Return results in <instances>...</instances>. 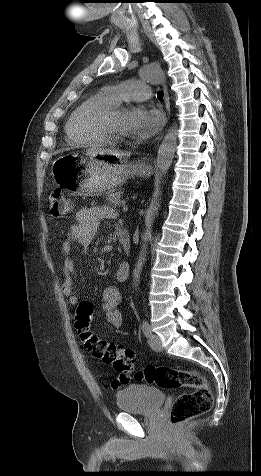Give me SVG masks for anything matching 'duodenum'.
I'll return each instance as SVG.
<instances>
[{"instance_id": "410a0bca", "label": "duodenum", "mask_w": 261, "mask_h": 476, "mask_svg": "<svg viewBox=\"0 0 261 476\" xmlns=\"http://www.w3.org/2000/svg\"><path fill=\"white\" fill-rule=\"evenodd\" d=\"M117 238H118V241H119L122 249L126 253H129L130 248H131V242H130V237H129L128 233L123 229H119L117 231Z\"/></svg>"}]
</instances>
